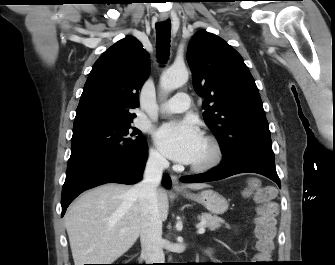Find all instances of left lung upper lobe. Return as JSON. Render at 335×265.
<instances>
[{
    "mask_svg": "<svg viewBox=\"0 0 335 265\" xmlns=\"http://www.w3.org/2000/svg\"><path fill=\"white\" fill-rule=\"evenodd\" d=\"M187 61L194 89L206 99L203 118L218 139L223 158L240 152L274 158L259 91L241 55L204 31L192 37Z\"/></svg>",
    "mask_w": 335,
    "mask_h": 265,
    "instance_id": "obj_1",
    "label": "left lung upper lobe"
}]
</instances>
